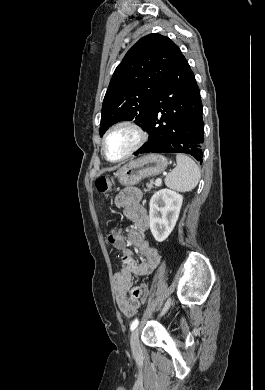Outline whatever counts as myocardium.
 I'll list each match as a JSON object with an SVG mask.
<instances>
[{
    "instance_id": "myocardium-1",
    "label": "myocardium",
    "mask_w": 265,
    "mask_h": 390,
    "mask_svg": "<svg viewBox=\"0 0 265 390\" xmlns=\"http://www.w3.org/2000/svg\"><path fill=\"white\" fill-rule=\"evenodd\" d=\"M119 129L131 130L135 135V141L132 144V146L128 149V151L122 157H120L119 159H116V160H111L108 158L107 153H106V142H107V139L109 138V136L113 132H115L116 130H119ZM146 140H147V133L139 123H137L133 120H129V119L122 120V121H119V122L115 123L114 125H112L106 131V133L102 139V144H101L102 154L108 162L120 163V162L127 160L133 154H135L145 144Z\"/></svg>"
}]
</instances>
